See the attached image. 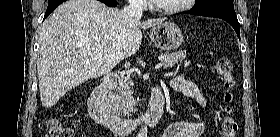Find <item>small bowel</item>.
<instances>
[{"label":"small bowel","instance_id":"small-bowel-1","mask_svg":"<svg viewBox=\"0 0 280 137\" xmlns=\"http://www.w3.org/2000/svg\"><path fill=\"white\" fill-rule=\"evenodd\" d=\"M171 87L203 104V95L197 86L185 75L173 78ZM204 133V126L198 122L177 121L170 124L161 137H200Z\"/></svg>","mask_w":280,"mask_h":137}]
</instances>
